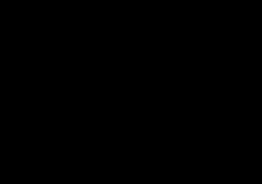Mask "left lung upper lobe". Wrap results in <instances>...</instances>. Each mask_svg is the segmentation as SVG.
I'll return each mask as SVG.
<instances>
[{
  "instance_id": "1",
  "label": "left lung upper lobe",
  "mask_w": 262,
  "mask_h": 184,
  "mask_svg": "<svg viewBox=\"0 0 262 184\" xmlns=\"http://www.w3.org/2000/svg\"><path fill=\"white\" fill-rule=\"evenodd\" d=\"M138 31L145 37L166 48L173 60H176L180 55L182 56L184 48H191L193 57L197 59L199 63L201 62V65H199L197 69L195 68L193 71L191 70L181 77L172 71L168 83V88H173L179 92V95L181 94V102L177 109L176 119L179 131L184 135L199 134L204 125L206 110L199 99L188 97L184 92H186V89L192 86L196 80L203 84H208L209 82L204 51L196 44L193 37L184 31L157 26L140 27Z\"/></svg>"
}]
</instances>
